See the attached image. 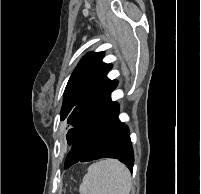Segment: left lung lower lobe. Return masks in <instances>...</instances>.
Wrapping results in <instances>:
<instances>
[{"label":"left lung lower lobe","instance_id":"0a47b994","mask_svg":"<svg viewBox=\"0 0 201 194\" xmlns=\"http://www.w3.org/2000/svg\"><path fill=\"white\" fill-rule=\"evenodd\" d=\"M119 105L111 100L90 117L75 133L67 137L72 149L65 169L78 162L116 158L133 170L134 153L128 127L118 119Z\"/></svg>","mask_w":201,"mask_h":194}]
</instances>
